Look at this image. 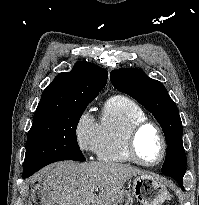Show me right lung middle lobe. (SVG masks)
Masks as SVG:
<instances>
[{
  "label": "right lung middle lobe",
  "instance_id": "dd1d6c3e",
  "mask_svg": "<svg viewBox=\"0 0 199 205\" xmlns=\"http://www.w3.org/2000/svg\"><path fill=\"white\" fill-rule=\"evenodd\" d=\"M94 99L53 106L35 112L28 132L23 175L60 161H85L76 140V129L87 105Z\"/></svg>",
  "mask_w": 199,
  "mask_h": 205
}]
</instances>
